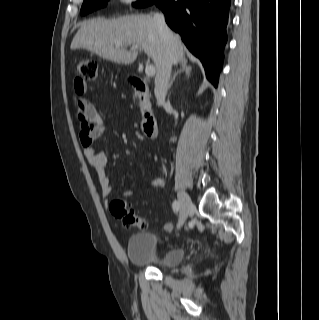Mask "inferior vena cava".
Returning a JSON list of instances; mask_svg holds the SVG:
<instances>
[{"label":"inferior vena cava","mask_w":319,"mask_h":320,"mask_svg":"<svg viewBox=\"0 0 319 320\" xmlns=\"http://www.w3.org/2000/svg\"><path fill=\"white\" fill-rule=\"evenodd\" d=\"M154 19L157 23L159 34L165 42V55L154 89L157 104L161 106L165 103V97L169 88V80L175 57L172 47L173 34L165 22L164 15L161 13H155Z\"/></svg>","instance_id":"obj_1"}]
</instances>
